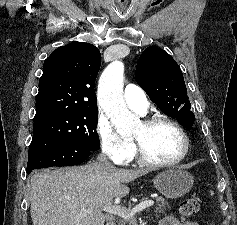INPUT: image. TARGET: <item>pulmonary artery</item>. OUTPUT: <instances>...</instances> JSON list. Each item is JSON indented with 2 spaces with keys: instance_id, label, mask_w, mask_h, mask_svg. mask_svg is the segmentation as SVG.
<instances>
[{
  "instance_id": "pulmonary-artery-1",
  "label": "pulmonary artery",
  "mask_w": 237,
  "mask_h": 225,
  "mask_svg": "<svg viewBox=\"0 0 237 225\" xmlns=\"http://www.w3.org/2000/svg\"><path fill=\"white\" fill-rule=\"evenodd\" d=\"M123 97L125 103L129 108L140 114L146 113L149 106V102L145 92L138 85H126Z\"/></svg>"
}]
</instances>
